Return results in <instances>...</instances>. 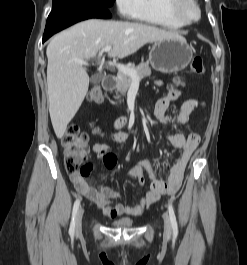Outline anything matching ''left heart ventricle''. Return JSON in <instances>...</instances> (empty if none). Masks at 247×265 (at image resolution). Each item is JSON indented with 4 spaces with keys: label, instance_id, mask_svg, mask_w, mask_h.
I'll list each match as a JSON object with an SVG mask.
<instances>
[{
    "label": "left heart ventricle",
    "instance_id": "left-heart-ventricle-1",
    "mask_svg": "<svg viewBox=\"0 0 247 265\" xmlns=\"http://www.w3.org/2000/svg\"><path fill=\"white\" fill-rule=\"evenodd\" d=\"M186 14L189 16V17H194L196 15V11L193 7L189 6L187 7L186 9Z\"/></svg>",
    "mask_w": 247,
    "mask_h": 265
}]
</instances>
